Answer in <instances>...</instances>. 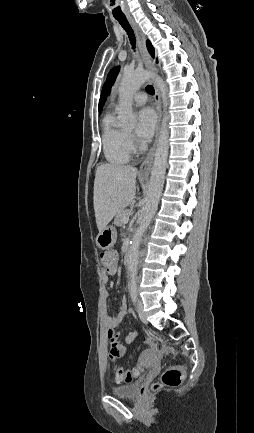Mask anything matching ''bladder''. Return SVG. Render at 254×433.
Masks as SVG:
<instances>
[{
    "mask_svg": "<svg viewBox=\"0 0 254 433\" xmlns=\"http://www.w3.org/2000/svg\"><path fill=\"white\" fill-rule=\"evenodd\" d=\"M111 391L116 397L133 399L138 395L139 383L133 382L125 385L115 386Z\"/></svg>",
    "mask_w": 254,
    "mask_h": 433,
    "instance_id": "1",
    "label": "bladder"
}]
</instances>
